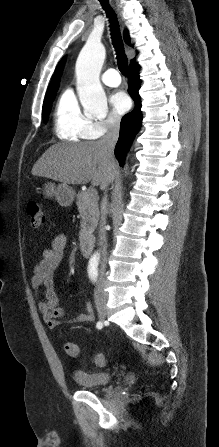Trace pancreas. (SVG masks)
Segmentation results:
<instances>
[{"label":"pancreas","instance_id":"cf45deb5","mask_svg":"<svg viewBox=\"0 0 219 447\" xmlns=\"http://www.w3.org/2000/svg\"><path fill=\"white\" fill-rule=\"evenodd\" d=\"M76 205L81 215L79 240L83 241L95 229L98 218V196L89 195V191H82L77 194Z\"/></svg>","mask_w":219,"mask_h":447}]
</instances>
